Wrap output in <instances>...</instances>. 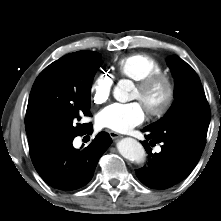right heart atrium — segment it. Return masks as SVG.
Instances as JSON below:
<instances>
[{
    "label": "right heart atrium",
    "instance_id": "obj_1",
    "mask_svg": "<svg viewBox=\"0 0 221 221\" xmlns=\"http://www.w3.org/2000/svg\"><path fill=\"white\" fill-rule=\"evenodd\" d=\"M113 80L107 73L99 74L90 85L91 99L95 104L107 102L111 96Z\"/></svg>",
    "mask_w": 221,
    "mask_h": 221
}]
</instances>
